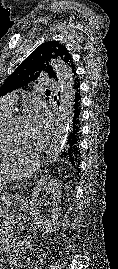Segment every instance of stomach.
Here are the masks:
<instances>
[{"label": "stomach", "instance_id": "obj_1", "mask_svg": "<svg viewBox=\"0 0 118 269\" xmlns=\"http://www.w3.org/2000/svg\"><path fill=\"white\" fill-rule=\"evenodd\" d=\"M39 167L40 160L32 155L0 166V193L7 184L31 176Z\"/></svg>", "mask_w": 118, "mask_h": 269}]
</instances>
